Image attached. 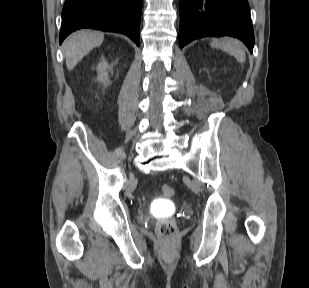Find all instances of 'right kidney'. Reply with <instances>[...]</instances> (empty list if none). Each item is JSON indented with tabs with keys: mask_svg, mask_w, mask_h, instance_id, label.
Returning <instances> with one entry per match:
<instances>
[{
	"mask_svg": "<svg viewBox=\"0 0 309 288\" xmlns=\"http://www.w3.org/2000/svg\"><path fill=\"white\" fill-rule=\"evenodd\" d=\"M111 68L112 66H109L105 60H102L97 66L98 71L97 80L103 83L107 82L109 80L107 69Z\"/></svg>",
	"mask_w": 309,
	"mask_h": 288,
	"instance_id": "ca27d5eb",
	"label": "right kidney"
}]
</instances>
